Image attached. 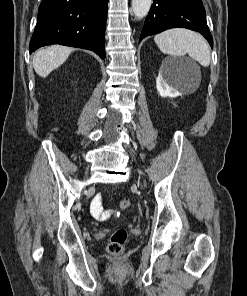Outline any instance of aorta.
Masks as SVG:
<instances>
[{
  "label": "aorta",
  "mask_w": 247,
  "mask_h": 296,
  "mask_svg": "<svg viewBox=\"0 0 247 296\" xmlns=\"http://www.w3.org/2000/svg\"><path fill=\"white\" fill-rule=\"evenodd\" d=\"M152 0H132V10L137 19L145 17L151 7Z\"/></svg>",
  "instance_id": "aorta-1"
}]
</instances>
